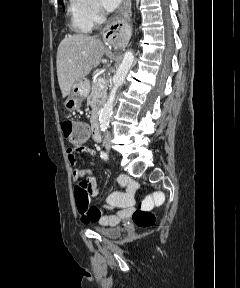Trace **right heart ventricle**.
I'll use <instances>...</instances> for the list:
<instances>
[{"mask_svg": "<svg viewBox=\"0 0 240 288\" xmlns=\"http://www.w3.org/2000/svg\"><path fill=\"white\" fill-rule=\"evenodd\" d=\"M68 13L73 29L79 33H87L91 26L81 15L79 4L77 0H71L68 7Z\"/></svg>", "mask_w": 240, "mask_h": 288, "instance_id": "obj_1", "label": "right heart ventricle"}]
</instances>
